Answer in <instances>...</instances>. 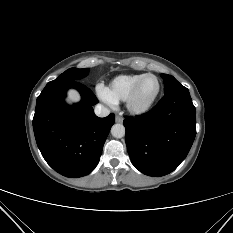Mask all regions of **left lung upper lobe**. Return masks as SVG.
I'll use <instances>...</instances> for the list:
<instances>
[{"label":"left lung upper lobe","mask_w":233,"mask_h":233,"mask_svg":"<svg viewBox=\"0 0 233 233\" xmlns=\"http://www.w3.org/2000/svg\"><path fill=\"white\" fill-rule=\"evenodd\" d=\"M161 77L163 78L165 89H164V95L178 92L182 90H188L186 87L181 85L173 76L167 75V74H161Z\"/></svg>","instance_id":"1"}]
</instances>
